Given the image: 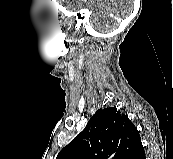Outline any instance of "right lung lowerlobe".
Masks as SVG:
<instances>
[{"instance_id": "1", "label": "right lung lower lobe", "mask_w": 173, "mask_h": 159, "mask_svg": "<svg viewBox=\"0 0 173 159\" xmlns=\"http://www.w3.org/2000/svg\"><path fill=\"white\" fill-rule=\"evenodd\" d=\"M132 159H145V151L144 149L140 151L136 156H134Z\"/></svg>"}]
</instances>
